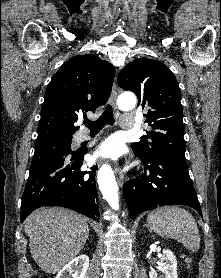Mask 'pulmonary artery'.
Segmentation results:
<instances>
[{
  "mask_svg": "<svg viewBox=\"0 0 221 278\" xmlns=\"http://www.w3.org/2000/svg\"><path fill=\"white\" fill-rule=\"evenodd\" d=\"M135 119L132 115H124L121 117V127L123 129H133L134 128ZM89 138V134L86 131H80L77 134V141L82 142Z\"/></svg>",
  "mask_w": 221,
  "mask_h": 278,
  "instance_id": "e3ab8cb5",
  "label": "pulmonary artery"
}]
</instances>
